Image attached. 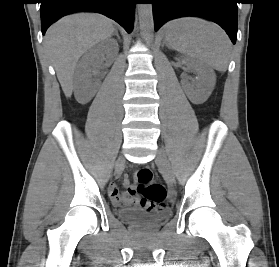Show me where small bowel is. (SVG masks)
<instances>
[{
    "mask_svg": "<svg viewBox=\"0 0 279 267\" xmlns=\"http://www.w3.org/2000/svg\"><path fill=\"white\" fill-rule=\"evenodd\" d=\"M124 185L127 187L126 193H121L116 184H111L109 187V195L115 205L132 206L137 203V198L127 177L124 179Z\"/></svg>",
    "mask_w": 279,
    "mask_h": 267,
    "instance_id": "c3829d8e",
    "label": "small bowel"
}]
</instances>
